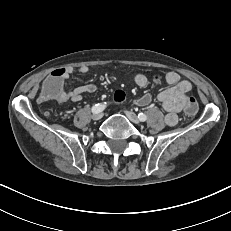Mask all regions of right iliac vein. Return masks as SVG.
I'll return each mask as SVG.
<instances>
[{"label": "right iliac vein", "instance_id": "1", "mask_svg": "<svg viewBox=\"0 0 231 231\" xmlns=\"http://www.w3.org/2000/svg\"><path fill=\"white\" fill-rule=\"evenodd\" d=\"M103 114L102 113H94L92 115L93 120H100L102 118Z\"/></svg>", "mask_w": 231, "mask_h": 231}]
</instances>
